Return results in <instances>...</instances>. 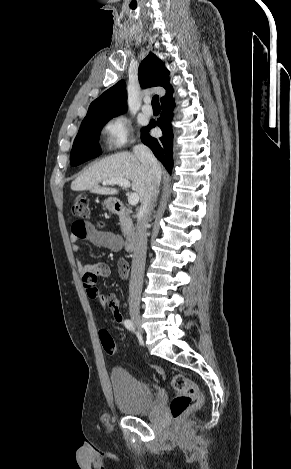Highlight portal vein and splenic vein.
<instances>
[{"label":"portal vein and splenic vein","mask_w":291,"mask_h":469,"mask_svg":"<svg viewBox=\"0 0 291 469\" xmlns=\"http://www.w3.org/2000/svg\"><path fill=\"white\" fill-rule=\"evenodd\" d=\"M103 185H121L124 188H129L130 187V181L127 179L123 178H116V179H111L107 181H103ZM139 202V196L137 193H132L128 197V203L132 206L137 205Z\"/></svg>","instance_id":"portal-vein-and-splenic-vein-1"}]
</instances>
